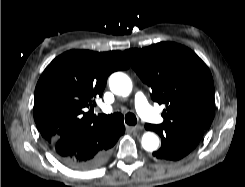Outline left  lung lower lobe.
Segmentation results:
<instances>
[{"mask_svg":"<svg viewBox=\"0 0 245 187\" xmlns=\"http://www.w3.org/2000/svg\"><path fill=\"white\" fill-rule=\"evenodd\" d=\"M146 130H151L162 138L161 148L153 152L157 159L178 161L187 156L200 142L204 130L198 128H170L164 124H146Z\"/></svg>","mask_w":245,"mask_h":187,"instance_id":"left-lung-lower-lobe-1","label":"left lung lower lobe"}]
</instances>
